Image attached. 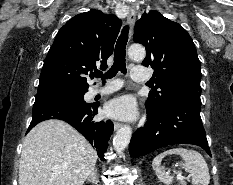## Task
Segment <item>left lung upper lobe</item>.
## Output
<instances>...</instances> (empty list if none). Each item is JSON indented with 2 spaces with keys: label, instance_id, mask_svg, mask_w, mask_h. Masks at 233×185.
I'll return each mask as SVG.
<instances>
[{
  "label": "left lung upper lobe",
  "instance_id": "left-lung-upper-lobe-1",
  "mask_svg": "<svg viewBox=\"0 0 233 185\" xmlns=\"http://www.w3.org/2000/svg\"><path fill=\"white\" fill-rule=\"evenodd\" d=\"M134 41L146 48L142 65L154 69L155 87L150 91L146 109L158 113L184 92H201V67L195 45L178 23L157 11L144 13L135 24Z\"/></svg>",
  "mask_w": 233,
  "mask_h": 185
}]
</instances>
